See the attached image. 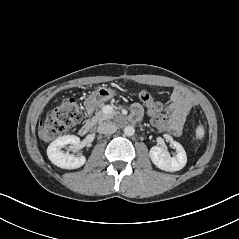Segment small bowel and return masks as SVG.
I'll list each match as a JSON object with an SVG mask.
<instances>
[{
  "mask_svg": "<svg viewBox=\"0 0 239 239\" xmlns=\"http://www.w3.org/2000/svg\"><path fill=\"white\" fill-rule=\"evenodd\" d=\"M191 104L192 99L188 93L182 90H176L173 92L169 106L171 126L167 131L168 133L174 136H179L181 134ZM142 114L143 107L139 103L133 104L131 108V119L138 121L142 117Z\"/></svg>",
  "mask_w": 239,
  "mask_h": 239,
  "instance_id": "1",
  "label": "small bowel"
}]
</instances>
